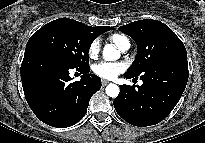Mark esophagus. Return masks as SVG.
<instances>
[{
    "label": "esophagus",
    "mask_w": 205,
    "mask_h": 143,
    "mask_svg": "<svg viewBox=\"0 0 205 143\" xmlns=\"http://www.w3.org/2000/svg\"><path fill=\"white\" fill-rule=\"evenodd\" d=\"M108 83H109V81H107V80H102V85H103V86H106Z\"/></svg>",
    "instance_id": "obj_1"
}]
</instances>
